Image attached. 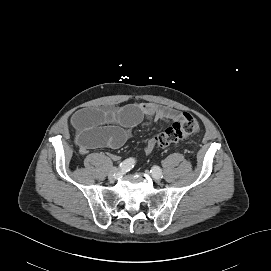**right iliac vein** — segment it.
<instances>
[{
  "instance_id": "1",
  "label": "right iliac vein",
  "mask_w": 271,
  "mask_h": 271,
  "mask_svg": "<svg viewBox=\"0 0 271 271\" xmlns=\"http://www.w3.org/2000/svg\"><path fill=\"white\" fill-rule=\"evenodd\" d=\"M120 174V171L117 168H112L109 172V180L114 182Z\"/></svg>"
}]
</instances>
